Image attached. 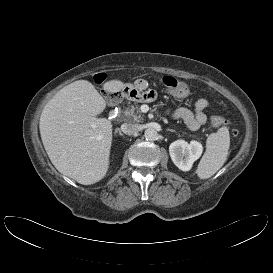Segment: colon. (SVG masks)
Listing matches in <instances>:
<instances>
[{
  "instance_id": "1",
  "label": "colon",
  "mask_w": 273,
  "mask_h": 273,
  "mask_svg": "<svg viewBox=\"0 0 273 273\" xmlns=\"http://www.w3.org/2000/svg\"><path fill=\"white\" fill-rule=\"evenodd\" d=\"M105 79L106 75L102 73L96 75L95 77V80L98 83H102ZM163 83L175 95L185 96L188 93V86L186 85V83L178 80L175 77L165 76L163 77ZM210 123L214 127H221L228 124L227 120L220 116H211ZM233 133H235V131H233Z\"/></svg>"
}]
</instances>
